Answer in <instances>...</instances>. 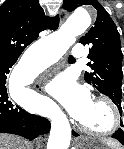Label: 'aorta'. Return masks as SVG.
Returning a JSON list of instances; mask_svg holds the SVG:
<instances>
[{"instance_id":"aorta-1","label":"aorta","mask_w":124,"mask_h":149,"mask_svg":"<svg viewBox=\"0 0 124 149\" xmlns=\"http://www.w3.org/2000/svg\"><path fill=\"white\" fill-rule=\"evenodd\" d=\"M90 24L91 17L89 13L82 8L76 10L57 31L40 42L42 47L36 48L28 60L20 61L11 75V83L19 80L21 86H24V77L32 71L31 60L43 53L45 49H53L60 54L65 53L75 42L76 35L86 30ZM48 116L51 119V131L47 149H68L71 139V128L66 115L56 104L51 103Z\"/></svg>"}]
</instances>
